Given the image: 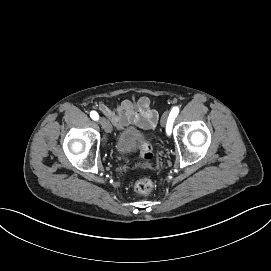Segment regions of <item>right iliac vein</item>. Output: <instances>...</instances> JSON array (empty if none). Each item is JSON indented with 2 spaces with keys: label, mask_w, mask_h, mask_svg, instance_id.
Instances as JSON below:
<instances>
[{
  "label": "right iliac vein",
  "mask_w": 271,
  "mask_h": 271,
  "mask_svg": "<svg viewBox=\"0 0 271 271\" xmlns=\"http://www.w3.org/2000/svg\"><path fill=\"white\" fill-rule=\"evenodd\" d=\"M99 122L106 132L110 133L112 131V126L106 118H100Z\"/></svg>",
  "instance_id": "63e3f726"
}]
</instances>
